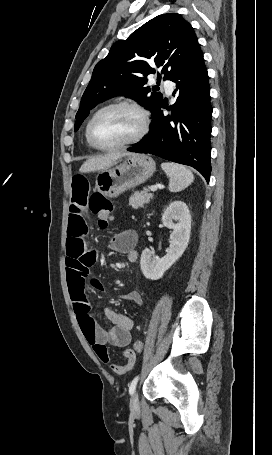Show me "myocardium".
<instances>
[{
  "label": "myocardium",
  "instance_id": "myocardium-1",
  "mask_svg": "<svg viewBox=\"0 0 272 455\" xmlns=\"http://www.w3.org/2000/svg\"><path fill=\"white\" fill-rule=\"evenodd\" d=\"M115 107H129V108L133 109L134 111H136L141 120V127H140L138 133L133 138H131L127 141H124L122 143H119V144L113 145V146H102V145L98 144L93 137V125L101 113H103L104 111H106L108 109L115 108ZM149 127H150L149 113L142 105H140L138 102L131 100V99H119V100L112 101V102L102 106L93 114V116L91 117V119L89 120V122L87 124L86 134H87L88 142L94 149L103 151V152H112V151L122 150V149H125L128 147H131V146L139 143L140 141H142L143 138L147 135V133L149 131Z\"/></svg>",
  "mask_w": 272,
  "mask_h": 455
}]
</instances>
